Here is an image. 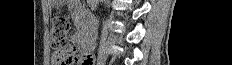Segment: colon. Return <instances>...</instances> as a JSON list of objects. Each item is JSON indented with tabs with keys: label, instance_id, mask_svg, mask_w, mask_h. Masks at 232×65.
<instances>
[{
	"label": "colon",
	"instance_id": "5ec220e1",
	"mask_svg": "<svg viewBox=\"0 0 232 65\" xmlns=\"http://www.w3.org/2000/svg\"><path fill=\"white\" fill-rule=\"evenodd\" d=\"M69 30L70 23L66 17L59 16L54 19L51 40L55 62L59 65H72L76 63L90 65L91 58L82 55L75 47L68 43Z\"/></svg>",
	"mask_w": 232,
	"mask_h": 65
}]
</instances>
